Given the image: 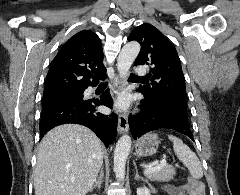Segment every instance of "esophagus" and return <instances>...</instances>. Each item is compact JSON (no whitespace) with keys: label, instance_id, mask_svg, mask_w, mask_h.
Segmentation results:
<instances>
[{"label":"esophagus","instance_id":"1","mask_svg":"<svg viewBox=\"0 0 240 195\" xmlns=\"http://www.w3.org/2000/svg\"><path fill=\"white\" fill-rule=\"evenodd\" d=\"M114 80L118 87H123L125 82L119 77L115 75ZM129 131V124L127 114L125 112H120L118 115V132L119 133H127Z\"/></svg>","mask_w":240,"mask_h":195}]
</instances>
